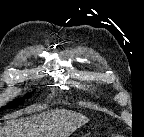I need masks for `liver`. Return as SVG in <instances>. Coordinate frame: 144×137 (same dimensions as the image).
Returning <instances> with one entry per match:
<instances>
[{
  "mask_svg": "<svg viewBox=\"0 0 144 137\" xmlns=\"http://www.w3.org/2000/svg\"><path fill=\"white\" fill-rule=\"evenodd\" d=\"M88 121L80 113L53 109L34 116L11 119L5 123L2 132L4 137H69Z\"/></svg>",
  "mask_w": 144,
  "mask_h": 137,
  "instance_id": "obj_1",
  "label": "liver"
}]
</instances>
